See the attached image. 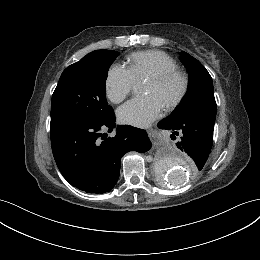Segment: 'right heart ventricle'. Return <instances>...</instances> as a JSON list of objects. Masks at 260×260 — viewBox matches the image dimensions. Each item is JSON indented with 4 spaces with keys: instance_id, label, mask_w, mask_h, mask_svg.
Segmentation results:
<instances>
[{
    "instance_id": "e07e8e85",
    "label": "right heart ventricle",
    "mask_w": 260,
    "mask_h": 260,
    "mask_svg": "<svg viewBox=\"0 0 260 260\" xmlns=\"http://www.w3.org/2000/svg\"><path fill=\"white\" fill-rule=\"evenodd\" d=\"M128 70L135 81L150 78L158 73L177 69V63L166 53L158 50L141 51L131 54L128 59Z\"/></svg>"
}]
</instances>
